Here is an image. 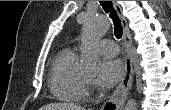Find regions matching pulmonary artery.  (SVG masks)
Returning <instances> with one entry per match:
<instances>
[{
    "label": "pulmonary artery",
    "mask_w": 171,
    "mask_h": 110,
    "mask_svg": "<svg viewBox=\"0 0 171 110\" xmlns=\"http://www.w3.org/2000/svg\"><path fill=\"white\" fill-rule=\"evenodd\" d=\"M98 48L103 56L114 57L118 54V45L110 39H103L99 42Z\"/></svg>",
    "instance_id": "obj_1"
}]
</instances>
